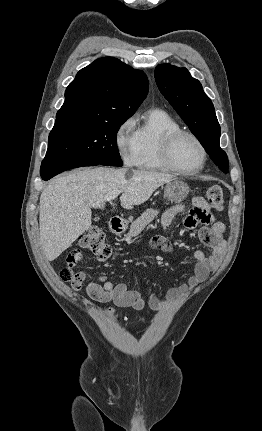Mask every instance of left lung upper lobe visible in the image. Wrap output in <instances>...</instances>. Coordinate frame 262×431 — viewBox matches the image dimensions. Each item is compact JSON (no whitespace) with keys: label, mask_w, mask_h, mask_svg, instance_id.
Returning a JSON list of instances; mask_svg holds the SVG:
<instances>
[{"label":"left lung upper lobe","mask_w":262,"mask_h":431,"mask_svg":"<svg viewBox=\"0 0 262 431\" xmlns=\"http://www.w3.org/2000/svg\"><path fill=\"white\" fill-rule=\"evenodd\" d=\"M155 80L163 96L173 106L210 158L223 172H228V159L220 148V125L210 98L201 83L186 68L170 64L158 65Z\"/></svg>","instance_id":"left-lung-upper-lobe-1"}]
</instances>
